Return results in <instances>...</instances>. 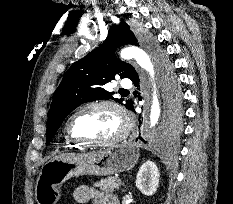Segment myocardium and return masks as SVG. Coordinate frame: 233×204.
I'll list each match as a JSON object with an SVG mask.
<instances>
[{
  "mask_svg": "<svg viewBox=\"0 0 233 204\" xmlns=\"http://www.w3.org/2000/svg\"><path fill=\"white\" fill-rule=\"evenodd\" d=\"M96 107H107V108L114 110L118 114L122 122V128L119 131V133H117L112 138L108 140H104V141H93V140H88V139H84V138L76 136L72 131L73 120L82 112L88 109H91V108H96ZM131 128H132V121L126 109L121 104H119L117 101L110 100V99L94 100L86 104H83L82 106L78 107L68 117L66 121V125H65L66 134L71 140L78 142L82 145L91 146V147L113 146L121 142L122 140H124L129 135Z\"/></svg>",
  "mask_w": 233,
  "mask_h": 204,
  "instance_id": "1",
  "label": "myocardium"
}]
</instances>
